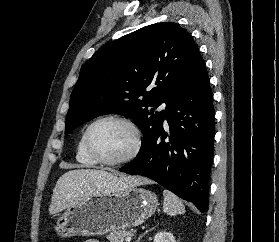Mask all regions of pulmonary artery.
<instances>
[{
	"mask_svg": "<svg viewBox=\"0 0 279 242\" xmlns=\"http://www.w3.org/2000/svg\"><path fill=\"white\" fill-rule=\"evenodd\" d=\"M165 108H166V105H165V104H162V105L160 106V109H161V110H165Z\"/></svg>",
	"mask_w": 279,
	"mask_h": 242,
	"instance_id": "1",
	"label": "pulmonary artery"
}]
</instances>
